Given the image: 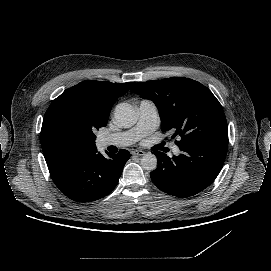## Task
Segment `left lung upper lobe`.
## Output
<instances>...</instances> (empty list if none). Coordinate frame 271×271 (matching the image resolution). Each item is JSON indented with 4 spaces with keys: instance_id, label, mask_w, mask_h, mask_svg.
<instances>
[{
    "instance_id": "obj_1",
    "label": "left lung upper lobe",
    "mask_w": 271,
    "mask_h": 271,
    "mask_svg": "<svg viewBox=\"0 0 271 271\" xmlns=\"http://www.w3.org/2000/svg\"><path fill=\"white\" fill-rule=\"evenodd\" d=\"M132 92L152 100L158 107L163 132L175 130L178 146H196L204 141L228 143L223 109L201 83L181 77L136 83Z\"/></svg>"
}]
</instances>
